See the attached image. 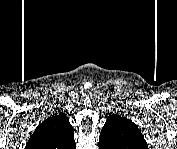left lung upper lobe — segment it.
Returning a JSON list of instances; mask_svg holds the SVG:
<instances>
[{
	"instance_id": "left-lung-upper-lobe-1",
	"label": "left lung upper lobe",
	"mask_w": 177,
	"mask_h": 149,
	"mask_svg": "<svg viewBox=\"0 0 177 149\" xmlns=\"http://www.w3.org/2000/svg\"><path fill=\"white\" fill-rule=\"evenodd\" d=\"M102 149H147V143L131 120L120 115H110L99 138Z\"/></svg>"
}]
</instances>
